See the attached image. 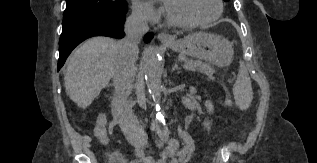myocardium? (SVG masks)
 <instances>
[{
	"instance_id": "myocardium-1",
	"label": "myocardium",
	"mask_w": 317,
	"mask_h": 163,
	"mask_svg": "<svg viewBox=\"0 0 317 163\" xmlns=\"http://www.w3.org/2000/svg\"><path fill=\"white\" fill-rule=\"evenodd\" d=\"M216 5H217V11L212 17L204 19V20H197V21H191V22L182 21L174 17L165 4H163V13H164L166 21L172 26L179 27V28H195V27L211 24L217 21L221 17L223 13L222 0H216Z\"/></svg>"
}]
</instances>
